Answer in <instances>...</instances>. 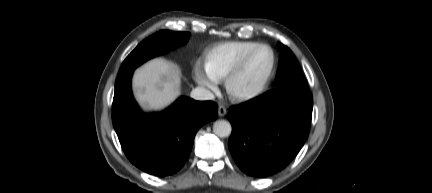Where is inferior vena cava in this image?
Returning <instances> with one entry per match:
<instances>
[{
    "mask_svg": "<svg viewBox=\"0 0 432 193\" xmlns=\"http://www.w3.org/2000/svg\"><path fill=\"white\" fill-rule=\"evenodd\" d=\"M191 98L199 101L213 100L215 97L213 93L203 87H196L191 91Z\"/></svg>",
    "mask_w": 432,
    "mask_h": 193,
    "instance_id": "602c4592",
    "label": "inferior vena cava"
}]
</instances>
